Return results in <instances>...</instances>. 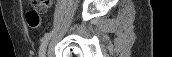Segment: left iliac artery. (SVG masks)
Here are the masks:
<instances>
[{
    "mask_svg": "<svg viewBox=\"0 0 172 57\" xmlns=\"http://www.w3.org/2000/svg\"><path fill=\"white\" fill-rule=\"evenodd\" d=\"M52 32H48L44 35V37L42 38V43L40 45V49H39V57H45V49L48 43V40L51 37Z\"/></svg>",
    "mask_w": 172,
    "mask_h": 57,
    "instance_id": "obj_1",
    "label": "left iliac artery"
}]
</instances>
